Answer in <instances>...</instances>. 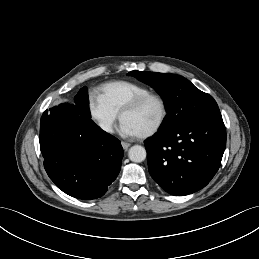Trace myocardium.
I'll list each match as a JSON object with an SVG mask.
<instances>
[{"instance_id":"f54148a6","label":"myocardium","mask_w":259,"mask_h":259,"mask_svg":"<svg viewBox=\"0 0 259 259\" xmlns=\"http://www.w3.org/2000/svg\"><path fill=\"white\" fill-rule=\"evenodd\" d=\"M151 99L156 100L160 104L161 116H160V119L158 120V122L156 123V125L153 128H151L149 131H147L145 133L139 134V136L141 138H148V137H151V136L155 135L157 132L160 131V129L165 124L166 119L168 117V107H167V103H166L165 99L157 93H147L145 95L138 96V97L132 99L131 101H129L122 108V110L119 113V117L122 120V118L125 114L135 111L144 102H146L147 100H151Z\"/></svg>"}]
</instances>
